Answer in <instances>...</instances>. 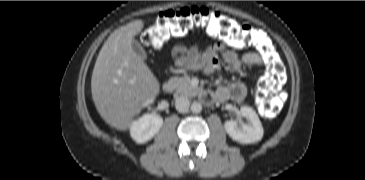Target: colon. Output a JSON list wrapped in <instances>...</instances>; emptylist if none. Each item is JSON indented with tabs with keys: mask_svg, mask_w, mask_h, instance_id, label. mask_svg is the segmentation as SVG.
Instances as JSON below:
<instances>
[{
	"mask_svg": "<svg viewBox=\"0 0 365 180\" xmlns=\"http://www.w3.org/2000/svg\"><path fill=\"white\" fill-rule=\"evenodd\" d=\"M195 28H202L206 33L223 44L233 48H243L259 43L256 32L245 26H235L220 13L204 7H182L165 10L158 14L154 22L142 33V41L151 47H159L172 38L183 37ZM260 53L269 70L259 83L257 97L260 104L266 106L265 115L276 114L281 98L273 95L283 83L280 63L275 60L272 49L260 46ZM273 101L275 104L273 105Z\"/></svg>",
	"mask_w": 365,
	"mask_h": 180,
	"instance_id": "obj_1",
	"label": "colon"
}]
</instances>
